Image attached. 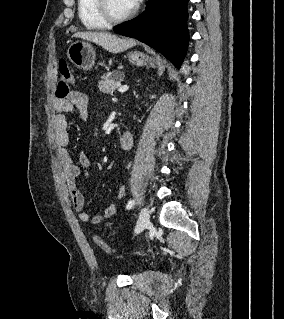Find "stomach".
<instances>
[{
	"label": "stomach",
	"mask_w": 284,
	"mask_h": 319,
	"mask_svg": "<svg viewBox=\"0 0 284 319\" xmlns=\"http://www.w3.org/2000/svg\"><path fill=\"white\" fill-rule=\"evenodd\" d=\"M67 55L69 60L82 70H90L95 63V49L90 43L84 41H75L70 44ZM131 64L138 67L154 66L155 59L141 52H131L128 55Z\"/></svg>",
	"instance_id": "obj_1"
}]
</instances>
